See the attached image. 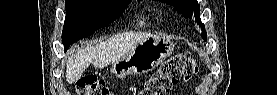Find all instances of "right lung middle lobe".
I'll use <instances>...</instances> for the list:
<instances>
[{"label":"right lung middle lobe","instance_id":"dd1d6c3e","mask_svg":"<svg viewBox=\"0 0 277 95\" xmlns=\"http://www.w3.org/2000/svg\"><path fill=\"white\" fill-rule=\"evenodd\" d=\"M131 0H65L66 18L62 32L65 51L121 16Z\"/></svg>","mask_w":277,"mask_h":95}]
</instances>
